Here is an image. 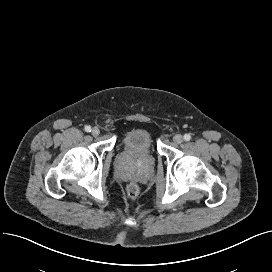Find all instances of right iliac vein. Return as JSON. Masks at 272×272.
Segmentation results:
<instances>
[{
    "instance_id": "right-iliac-vein-1",
    "label": "right iliac vein",
    "mask_w": 272,
    "mask_h": 272,
    "mask_svg": "<svg viewBox=\"0 0 272 272\" xmlns=\"http://www.w3.org/2000/svg\"><path fill=\"white\" fill-rule=\"evenodd\" d=\"M91 133H92L93 136L96 137V136H98V135L100 134V130H99V128L94 127V128L92 129Z\"/></svg>"
}]
</instances>
